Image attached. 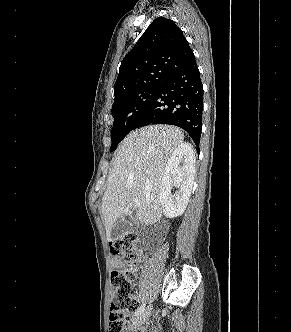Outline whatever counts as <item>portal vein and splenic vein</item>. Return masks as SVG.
<instances>
[{
	"mask_svg": "<svg viewBox=\"0 0 291 332\" xmlns=\"http://www.w3.org/2000/svg\"><path fill=\"white\" fill-rule=\"evenodd\" d=\"M134 203H135V204H139V200H138V199H135Z\"/></svg>",
	"mask_w": 291,
	"mask_h": 332,
	"instance_id": "portal-vein-and-splenic-vein-1",
	"label": "portal vein and splenic vein"
}]
</instances>
